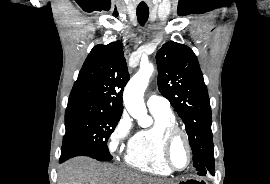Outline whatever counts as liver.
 <instances>
[{"instance_id": "1", "label": "liver", "mask_w": 270, "mask_h": 184, "mask_svg": "<svg viewBox=\"0 0 270 184\" xmlns=\"http://www.w3.org/2000/svg\"><path fill=\"white\" fill-rule=\"evenodd\" d=\"M58 184H170L167 181L122 170L87 157H75L62 164Z\"/></svg>"}]
</instances>
